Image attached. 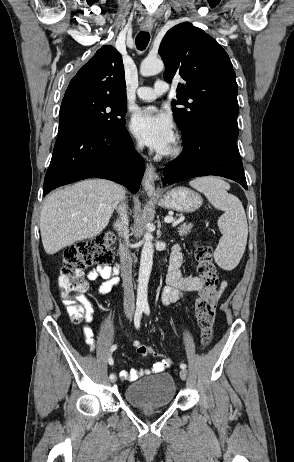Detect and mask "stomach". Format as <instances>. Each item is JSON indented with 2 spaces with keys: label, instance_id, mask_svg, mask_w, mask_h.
<instances>
[{
  "label": "stomach",
  "instance_id": "obj_1",
  "mask_svg": "<svg viewBox=\"0 0 294 462\" xmlns=\"http://www.w3.org/2000/svg\"><path fill=\"white\" fill-rule=\"evenodd\" d=\"M158 204L166 209L191 213L202 205V197L185 187H176L157 199Z\"/></svg>",
  "mask_w": 294,
  "mask_h": 462
}]
</instances>
